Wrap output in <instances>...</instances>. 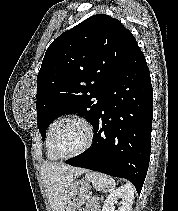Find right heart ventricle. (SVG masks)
I'll list each match as a JSON object with an SVG mask.
<instances>
[{"label": "right heart ventricle", "instance_id": "e07e8e85", "mask_svg": "<svg viewBox=\"0 0 178 211\" xmlns=\"http://www.w3.org/2000/svg\"><path fill=\"white\" fill-rule=\"evenodd\" d=\"M62 120H63L62 117H57V118H55V119L51 122V124L49 125V128H48L45 146H46V154H47V157H48L50 160H57V159H58V158L56 157V155L54 154L53 150H52L51 143H52L53 133H54L56 127L58 126V124H59Z\"/></svg>", "mask_w": 178, "mask_h": 211}]
</instances>
